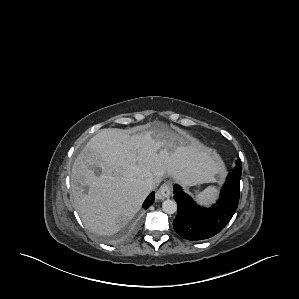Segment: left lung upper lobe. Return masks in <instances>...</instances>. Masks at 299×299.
I'll return each mask as SVG.
<instances>
[{"mask_svg":"<svg viewBox=\"0 0 299 299\" xmlns=\"http://www.w3.org/2000/svg\"><path fill=\"white\" fill-rule=\"evenodd\" d=\"M237 164H238V166L234 169V171L242 173V164H241V160L240 159L237 161Z\"/></svg>","mask_w":299,"mask_h":299,"instance_id":"1","label":"left lung upper lobe"}]
</instances>
